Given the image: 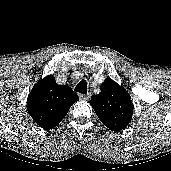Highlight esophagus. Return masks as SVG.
<instances>
[{
    "label": "esophagus",
    "mask_w": 171,
    "mask_h": 171,
    "mask_svg": "<svg viewBox=\"0 0 171 171\" xmlns=\"http://www.w3.org/2000/svg\"><path fill=\"white\" fill-rule=\"evenodd\" d=\"M90 94H79V98L85 101H88L90 99Z\"/></svg>",
    "instance_id": "1"
}]
</instances>
